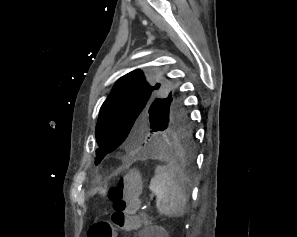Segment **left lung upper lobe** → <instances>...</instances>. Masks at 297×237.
Masks as SVG:
<instances>
[{"label":"left lung upper lobe","mask_w":297,"mask_h":237,"mask_svg":"<svg viewBox=\"0 0 297 237\" xmlns=\"http://www.w3.org/2000/svg\"><path fill=\"white\" fill-rule=\"evenodd\" d=\"M180 106V92L162 73L134 70L121 77L99 112L95 164L113 151L124 158L144 155L166 116Z\"/></svg>","instance_id":"obj_1"}]
</instances>
